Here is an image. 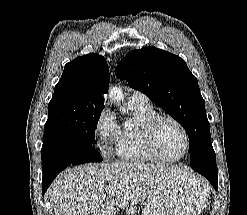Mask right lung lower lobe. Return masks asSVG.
Here are the masks:
<instances>
[{"mask_svg":"<svg viewBox=\"0 0 247 215\" xmlns=\"http://www.w3.org/2000/svg\"><path fill=\"white\" fill-rule=\"evenodd\" d=\"M42 158V195L53 179L67 166L88 162H101V155L92 144L81 143L77 139H60L49 147L41 149Z\"/></svg>","mask_w":247,"mask_h":215,"instance_id":"obj_1","label":"right lung lower lobe"}]
</instances>
